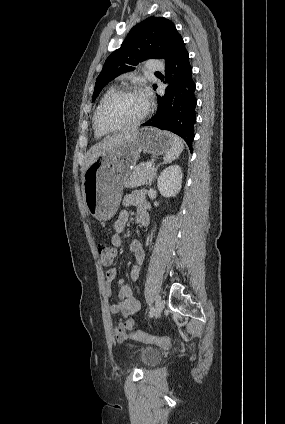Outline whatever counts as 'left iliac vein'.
Instances as JSON below:
<instances>
[{"label": "left iliac vein", "instance_id": "obj_1", "mask_svg": "<svg viewBox=\"0 0 285 424\" xmlns=\"http://www.w3.org/2000/svg\"><path fill=\"white\" fill-rule=\"evenodd\" d=\"M164 308V301L161 299L160 296L157 297L156 299V305H155V316L159 317L162 310Z\"/></svg>", "mask_w": 285, "mask_h": 424}]
</instances>
